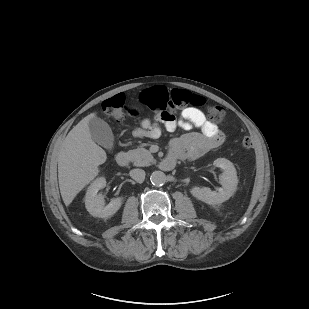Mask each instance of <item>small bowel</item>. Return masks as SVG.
Listing matches in <instances>:
<instances>
[{
    "mask_svg": "<svg viewBox=\"0 0 309 309\" xmlns=\"http://www.w3.org/2000/svg\"><path fill=\"white\" fill-rule=\"evenodd\" d=\"M159 123H162L168 131H174L177 127L189 131L171 141L170 153L167 159H173L174 161L176 159H196L219 146L224 140L223 134L218 127L208 121L202 111L195 108L185 109L177 119L173 116L164 121L157 120V122L145 119L142 121L137 135L158 138L161 134ZM193 128H198L200 132L190 131Z\"/></svg>",
    "mask_w": 309,
    "mask_h": 309,
    "instance_id": "1",
    "label": "small bowel"
}]
</instances>
